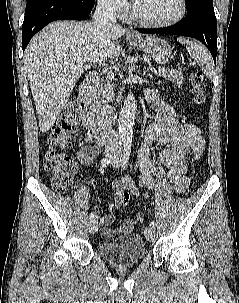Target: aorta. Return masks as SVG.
Returning <instances> with one entry per match:
<instances>
[{
  "mask_svg": "<svg viewBox=\"0 0 239 303\" xmlns=\"http://www.w3.org/2000/svg\"><path fill=\"white\" fill-rule=\"evenodd\" d=\"M136 111L137 104L135 96L130 92L124 101L119 117V138L124 143L132 141Z\"/></svg>",
  "mask_w": 239,
  "mask_h": 303,
  "instance_id": "762f6f07",
  "label": "aorta"
}]
</instances>
